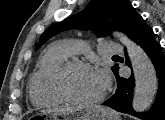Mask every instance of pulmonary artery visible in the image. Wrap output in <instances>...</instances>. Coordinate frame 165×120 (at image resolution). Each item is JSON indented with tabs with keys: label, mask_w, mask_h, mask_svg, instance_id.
Listing matches in <instances>:
<instances>
[{
	"label": "pulmonary artery",
	"mask_w": 165,
	"mask_h": 120,
	"mask_svg": "<svg viewBox=\"0 0 165 120\" xmlns=\"http://www.w3.org/2000/svg\"><path fill=\"white\" fill-rule=\"evenodd\" d=\"M56 48L68 56L79 52L83 46L76 42L66 41L58 44ZM123 51V46L115 42H105L100 45V53L103 55L112 56L123 53Z\"/></svg>",
	"instance_id": "e3ab8cb5"
}]
</instances>
